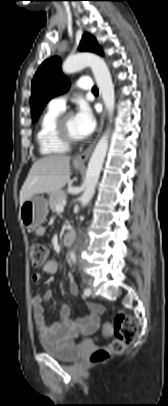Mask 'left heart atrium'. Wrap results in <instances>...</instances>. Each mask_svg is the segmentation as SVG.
Here are the masks:
<instances>
[{"mask_svg":"<svg viewBox=\"0 0 168 406\" xmlns=\"http://www.w3.org/2000/svg\"><path fill=\"white\" fill-rule=\"evenodd\" d=\"M75 124L80 138H85L93 133L96 127V120L91 109L81 104L74 115Z\"/></svg>","mask_w":168,"mask_h":406,"instance_id":"obj_1","label":"left heart atrium"}]
</instances>
